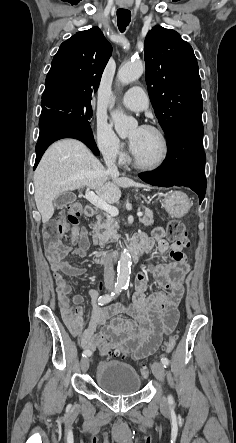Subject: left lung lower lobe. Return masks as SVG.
<instances>
[{
	"mask_svg": "<svg viewBox=\"0 0 236 443\" xmlns=\"http://www.w3.org/2000/svg\"><path fill=\"white\" fill-rule=\"evenodd\" d=\"M202 120H191L178 125L168 137V154L164 165L157 170L139 174L154 186H185L195 191L200 204L205 196V153Z\"/></svg>",
	"mask_w": 236,
	"mask_h": 443,
	"instance_id": "obj_1",
	"label": "left lung lower lobe"
}]
</instances>
